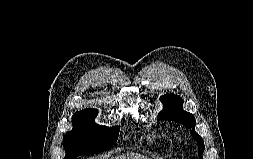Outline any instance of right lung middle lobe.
<instances>
[{
  "mask_svg": "<svg viewBox=\"0 0 253 159\" xmlns=\"http://www.w3.org/2000/svg\"><path fill=\"white\" fill-rule=\"evenodd\" d=\"M96 109L76 112L72 117L73 129L63 137L66 151L64 159H76L82 154H94L114 145L119 135V127L107 128L95 124Z\"/></svg>",
  "mask_w": 253,
  "mask_h": 159,
  "instance_id": "1",
  "label": "right lung middle lobe"
}]
</instances>
